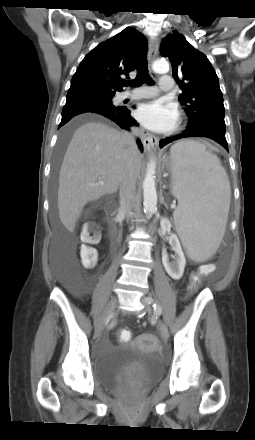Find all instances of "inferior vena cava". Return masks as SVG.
<instances>
[{
    "mask_svg": "<svg viewBox=\"0 0 255 440\" xmlns=\"http://www.w3.org/2000/svg\"><path fill=\"white\" fill-rule=\"evenodd\" d=\"M140 135L138 128L133 127L130 133L126 134L129 145V158L127 161L125 175L120 184V212L130 216L134 208V197L136 191V176L134 167V156L138 152L135 137Z\"/></svg>",
    "mask_w": 255,
    "mask_h": 440,
    "instance_id": "inferior-vena-cava-1",
    "label": "inferior vena cava"
}]
</instances>
